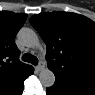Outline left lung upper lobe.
Returning <instances> with one entry per match:
<instances>
[{"label": "left lung upper lobe", "instance_id": "1", "mask_svg": "<svg viewBox=\"0 0 95 95\" xmlns=\"http://www.w3.org/2000/svg\"><path fill=\"white\" fill-rule=\"evenodd\" d=\"M47 45L46 60L58 78L95 85V23L70 12L40 13L30 18Z\"/></svg>", "mask_w": 95, "mask_h": 95}]
</instances>
